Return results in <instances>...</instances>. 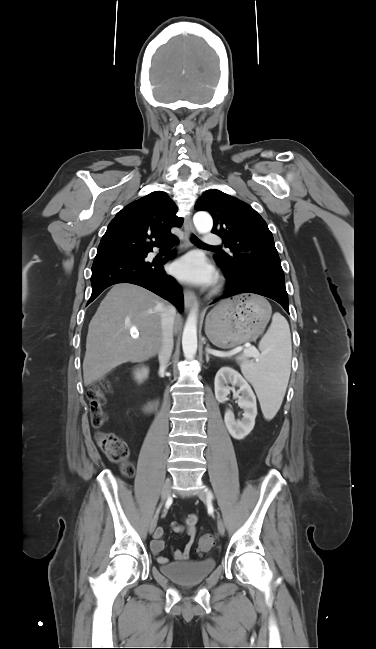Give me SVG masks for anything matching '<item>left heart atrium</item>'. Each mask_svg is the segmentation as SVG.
<instances>
[{"label": "left heart atrium", "mask_w": 376, "mask_h": 649, "mask_svg": "<svg viewBox=\"0 0 376 649\" xmlns=\"http://www.w3.org/2000/svg\"><path fill=\"white\" fill-rule=\"evenodd\" d=\"M173 274L194 284H207L214 280V270L197 255H188L177 261L173 266Z\"/></svg>", "instance_id": "1"}]
</instances>
